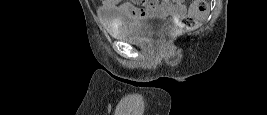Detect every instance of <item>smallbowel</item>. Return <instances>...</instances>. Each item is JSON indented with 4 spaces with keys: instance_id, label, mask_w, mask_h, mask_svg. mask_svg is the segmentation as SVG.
Listing matches in <instances>:
<instances>
[{
    "instance_id": "small-bowel-1",
    "label": "small bowel",
    "mask_w": 267,
    "mask_h": 115,
    "mask_svg": "<svg viewBox=\"0 0 267 115\" xmlns=\"http://www.w3.org/2000/svg\"><path fill=\"white\" fill-rule=\"evenodd\" d=\"M141 7H137L134 3L124 2L120 5L117 1L105 0L103 1L102 9H112L117 7L120 12L129 19H137L145 14H161L179 16L184 11V5L181 2L165 1L162 3L156 1L139 2Z\"/></svg>"
}]
</instances>
